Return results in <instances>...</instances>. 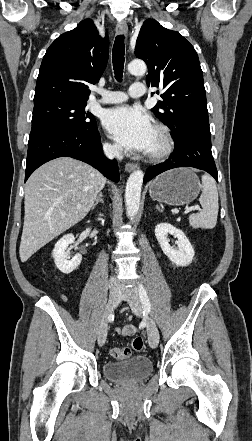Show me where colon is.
I'll use <instances>...</instances> for the list:
<instances>
[{"label":"colon","mask_w":252,"mask_h":441,"mask_svg":"<svg viewBox=\"0 0 252 441\" xmlns=\"http://www.w3.org/2000/svg\"><path fill=\"white\" fill-rule=\"evenodd\" d=\"M144 347L142 337L138 336L132 340L130 347H115L111 350V356L115 359H124L132 355L133 352H139Z\"/></svg>","instance_id":"5ec220e1"}]
</instances>
